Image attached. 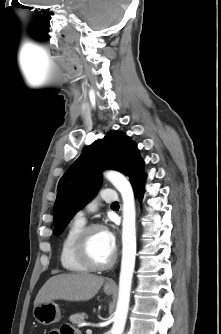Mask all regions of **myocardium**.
Segmentation results:
<instances>
[{"label": "myocardium", "mask_w": 221, "mask_h": 334, "mask_svg": "<svg viewBox=\"0 0 221 334\" xmlns=\"http://www.w3.org/2000/svg\"><path fill=\"white\" fill-rule=\"evenodd\" d=\"M96 230H106L105 226L99 223H92L80 231L75 241V253L78 260L91 270H106L113 266L117 258V250L114 249V253L110 260L106 263H99L93 259L89 251V241L92 233Z\"/></svg>", "instance_id": "myocardium-1"}]
</instances>
